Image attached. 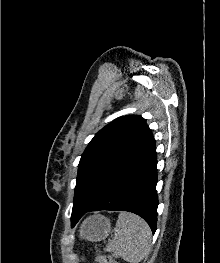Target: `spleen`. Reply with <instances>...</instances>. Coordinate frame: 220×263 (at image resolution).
Returning <instances> with one entry per match:
<instances>
[{
	"instance_id": "obj_1",
	"label": "spleen",
	"mask_w": 220,
	"mask_h": 263,
	"mask_svg": "<svg viewBox=\"0 0 220 263\" xmlns=\"http://www.w3.org/2000/svg\"><path fill=\"white\" fill-rule=\"evenodd\" d=\"M151 248V230L139 216L120 213L114 228V238L106 246V251L120 256L129 263L143 260Z\"/></svg>"
}]
</instances>
